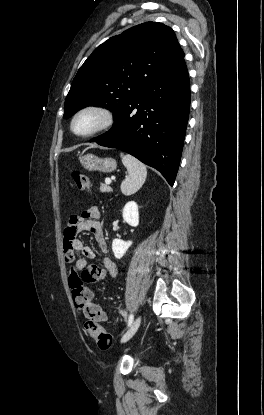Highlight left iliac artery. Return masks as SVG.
I'll list each match as a JSON object with an SVG mask.
<instances>
[{"instance_id":"left-iliac-artery-1","label":"left iliac artery","mask_w":264,"mask_h":415,"mask_svg":"<svg viewBox=\"0 0 264 415\" xmlns=\"http://www.w3.org/2000/svg\"><path fill=\"white\" fill-rule=\"evenodd\" d=\"M133 320H134V316L133 314H130L129 319H128V327L132 324Z\"/></svg>"}]
</instances>
